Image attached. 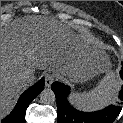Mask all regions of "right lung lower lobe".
Instances as JSON below:
<instances>
[{"mask_svg": "<svg viewBox=\"0 0 123 123\" xmlns=\"http://www.w3.org/2000/svg\"><path fill=\"white\" fill-rule=\"evenodd\" d=\"M44 89V78L27 89L19 98L13 111L1 123H25V111L29 103Z\"/></svg>", "mask_w": 123, "mask_h": 123, "instance_id": "right-lung-lower-lobe-1", "label": "right lung lower lobe"}]
</instances>
